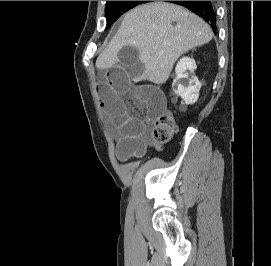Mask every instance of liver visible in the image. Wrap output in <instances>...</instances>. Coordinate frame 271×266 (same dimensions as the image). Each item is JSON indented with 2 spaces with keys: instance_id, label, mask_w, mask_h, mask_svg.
Wrapping results in <instances>:
<instances>
[{
  "instance_id": "liver-1",
  "label": "liver",
  "mask_w": 271,
  "mask_h": 266,
  "mask_svg": "<svg viewBox=\"0 0 271 266\" xmlns=\"http://www.w3.org/2000/svg\"><path fill=\"white\" fill-rule=\"evenodd\" d=\"M212 37L213 32L204 20L180 6L162 2L144 4L125 15L118 32L97 58L96 67H113V62L119 61V51L133 46L147 68L134 81L163 84L182 54L208 43Z\"/></svg>"
}]
</instances>
